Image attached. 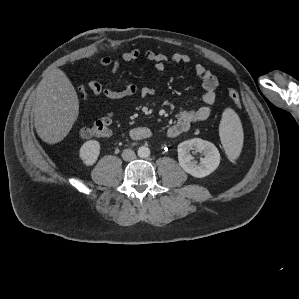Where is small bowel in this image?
<instances>
[{"instance_id": "c3829d8e", "label": "small bowel", "mask_w": 299, "mask_h": 299, "mask_svg": "<svg viewBox=\"0 0 299 299\" xmlns=\"http://www.w3.org/2000/svg\"><path fill=\"white\" fill-rule=\"evenodd\" d=\"M142 55L139 49H132L130 51L122 53L119 57L112 59L110 57H103L99 60V68H110L112 72H116L122 62H128L138 59ZM144 57L148 63L153 64L155 71L158 74L164 72L167 63L175 64H187L190 62V57L184 53H174L170 56L164 53H157L153 51H147L144 53ZM195 72L202 81L203 94L201 95L202 105L196 109L185 110L180 109L176 115V121L167 129L166 136L170 139L176 138L182 133H185L190 129L193 123L198 121L207 120L212 113L211 106L216 101V90L218 87L217 77L207 69L203 64L195 65ZM89 90L95 95L117 100L133 94L138 93L141 97L154 96L157 93L156 88L152 87H138L135 82L128 83L123 89H112L103 87L99 81V77L96 76L88 83ZM144 128L135 127L131 130L130 135L133 139L139 140L137 134Z\"/></svg>"}]
</instances>
